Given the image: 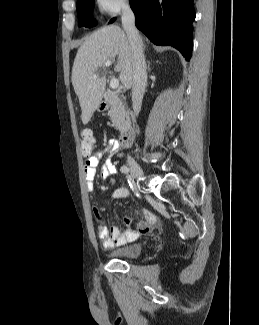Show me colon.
<instances>
[{
  "mask_svg": "<svg viewBox=\"0 0 259 325\" xmlns=\"http://www.w3.org/2000/svg\"><path fill=\"white\" fill-rule=\"evenodd\" d=\"M80 148L84 156H89L94 149V137L89 129H84L80 134ZM158 229L155 219L138 223V230L142 233H150Z\"/></svg>",
  "mask_w": 259,
  "mask_h": 325,
  "instance_id": "obj_1",
  "label": "colon"
}]
</instances>
